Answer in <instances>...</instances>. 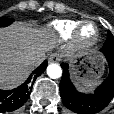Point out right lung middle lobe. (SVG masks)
Masks as SVG:
<instances>
[{
    "instance_id": "1",
    "label": "right lung middle lobe",
    "mask_w": 114,
    "mask_h": 114,
    "mask_svg": "<svg viewBox=\"0 0 114 114\" xmlns=\"http://www.w3.org/2000/svg\"><path fill=\"white\" fill-rule=\"evenodd\" d=\"M12 21H13L12 19L2 17V18H0V27H5V26L10 25Z\"/></svg>"
}]
</instances>
